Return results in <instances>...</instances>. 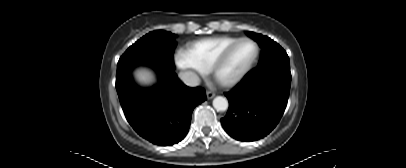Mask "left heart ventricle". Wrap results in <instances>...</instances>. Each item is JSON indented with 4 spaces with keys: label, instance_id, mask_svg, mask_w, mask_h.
Wrapping results in <instances>:
<instances>
[{
    "label": "left heart ventricle",
    "instance_id": "1",
    "mask_svg": "<svg viewBox=\"0 0 406 168\" xmlns=\"http://www.w3.org/2000/svg\"><path fill=\"white\" fill-rule=\"evenodd\" d=\"M255 52L254 45L250 42L240 43L223 66L220 77L228 79L238 73L253 57Z\"/></svg>",
    "mask_w": 406,
    "mask_h": 168
}]
</instances>
